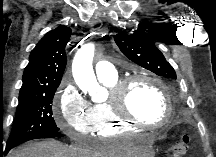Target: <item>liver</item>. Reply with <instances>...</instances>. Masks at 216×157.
<instances>
[{
    "label": "liver",
    "instance_id": "obj_1",
    "mask_svg": "<svg viewBox=\"0 0 216 157\" xmlns=\"http://www.w3.org/2000/svg\"><path fill=\"white\" fill-rule=\"evenodd\" d=\"M143 148L132 142L105 144L98 147L67 146L58 141H42L11 151L9 157H137Z\"/></svg>",
    "mask_w": 216,
    "mask_h": 157
}]
</instances>
